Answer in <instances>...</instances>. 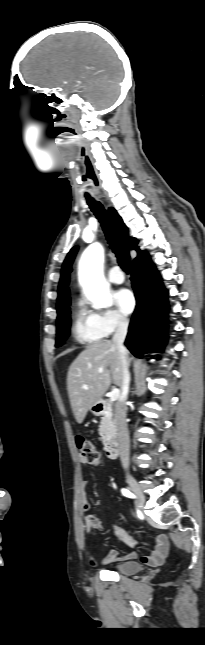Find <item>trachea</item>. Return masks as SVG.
Wrapping results in <instances>:
<instances>
[{"mask_svg": "<svg viewBox=\"0 0 205 645\" xmlns=\"http://www.w3.org/2000/svg\"><path fill=\"white\" fill-rule=\"evenodd\" d=\"M86 200L90 209L101 223L108 243L110 244L112 251L116 255L120 267L123 269V271L127 273L130 272L129 252L125 247L122 239L120 238L110 216L100 202L95 201L92 197L89 196H86Z\"/></svg>", "mask_w": 205, "mask_h": 645, "instance_id": "1", "label": "trachea"}]
</instances>
